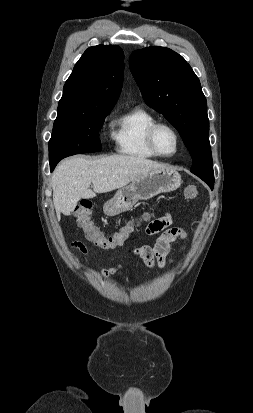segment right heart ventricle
I'll list each match as a JSON object with an SVG mask.
<instances>
[{"label":"right heart ventricle","instance_id":"e07e8e85","mask_svg":"<svg viewBox=\"0 0 253 413\" xmlns=\"http://www.w3.org/2000/svg\"><path fill=\"white\" fill-rule=\"evenodd\" d=\"M154 122H156L155 117L139 107L121 116L114 132L117 151L137 159L154 158L156 155L152 153L146 143L147 129Z\"/></svg>","mask_w":253,"mask_h":413}]
</instances>
